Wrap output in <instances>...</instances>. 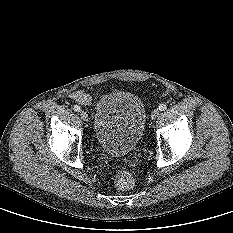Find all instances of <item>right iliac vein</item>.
<instances>
[{"label":"right iliac vein","instance_id":"obj_1","mask_svg":"<svg viewBox=\"0 0 233 233\" xmlns=\"http://www.w3.org/2000/svg\"><path fill=\"white\" fill-rule=\"evenodd\" d=\"M80 116L84 121H88V115L85 111H80Z\"/></svg>","mask_w":233,"mask_h":233}]
</instances>
